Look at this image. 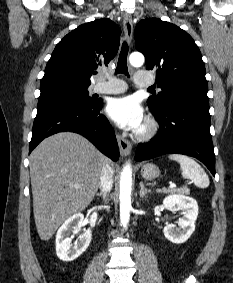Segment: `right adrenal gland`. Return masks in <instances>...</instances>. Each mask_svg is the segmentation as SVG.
<instances>
[{
  "label": "right adrenal gland",
  "instance_id": "2a0ac1e0",
  "mask_svg": "<svg viewBox=\"0 0 233 283\" xmlns=\"http://www.w3.org/2000/svg\"><path fill=\"white\" fill-rule=\"evenodd\" d=\"M97 197H103L105 199V196L102 193H99L96 195Z\"/></svg>",
  "mask_w": 233,
  "mask_h": 283
}]
</instances>
